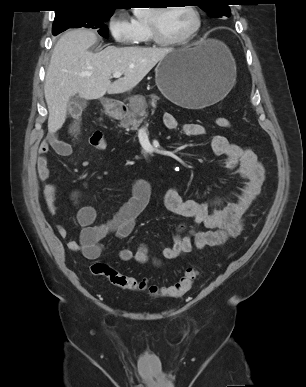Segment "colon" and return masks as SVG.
<instances>
[{"label": "colon", "instance_id": "obj_1", "mask_svg": "<svg viewBox=\"0 0 306 387\" xmlns=\"http://www.w3.org/2000/svg\"><path fill=\"white\" fill-rule=\"evenodd\" d=\"M215 124L224 129L231 128L232 124L225 117H217ZM89 144L95 149H104L106 140L102 132L96 131L89 137ZM90 271L96 276L105 277L112 285L124 290L144 292L151 296H162L170 298H178L187 293L198 276L196 268H187L183 275L173 284L169 286H157L150 284L145 279H137L118 272L109 264L97 261L91 264Z\"/></svg>", "mask_w": 306, "mask_h": 387}]
</instances>
